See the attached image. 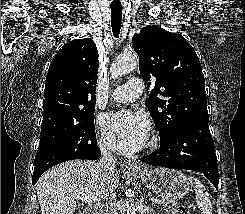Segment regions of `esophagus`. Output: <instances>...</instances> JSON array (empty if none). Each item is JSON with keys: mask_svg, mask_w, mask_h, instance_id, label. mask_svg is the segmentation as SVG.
I'll list each match as a JSON object with an SVG mask.
<instances>
[{"mask_svg": "<svg viewBox=\"0 0 245 214\" xmlns=\"http://www.w3.org/2000/svg\"><path fill=\"white\" fill-rule=\"evenodd\" d=\"M126 165L131 167V168L141 167V164H139V163H137L135 161H131V160L127 161Z\"/></svg>", "mask_w": 245, "mask_h": 214, "instance_id": "1", "label": "esophagus"}]
</instances>
